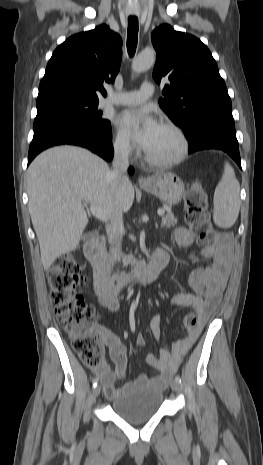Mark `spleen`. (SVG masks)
I'll use <instances>...</instances> for the list:
<instances>
[{"instance_id": "obj_1", "label": "spleen", "mask_w": 263, "mask_h": 465, "mask_svg": "<svg viewBox=\"0 0 263 465\" xmlns=\"http://www.w3.org/2000/svg\"><path fill=\"white\" fill-rule=\"evenodd\" d=\"M240 185L233 168L226 163L221 180L214 192V223L221 228L232 227L240 209Z\"/></svg>"}]
</instances>
